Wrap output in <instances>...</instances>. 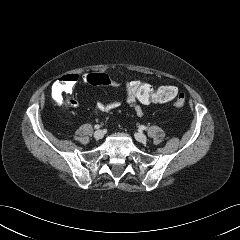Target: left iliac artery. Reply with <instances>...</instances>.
<instances>
[{
	"label": "left iliac artery",
	"instance_id": "1",
	"mask_svg": "<svg viewBox=\"0 0 240 240\" xmlns=\"http://www.w3.org/2000/svg\"><path fill=\"white\" fill-rule=\"evenodd\" d=\"M139 128H140V130H146L147 129V127L144 126V125L140 126Z\"/></svg>",
	"mask_w": 240,
	"mask_h": 240
}]
</instances>
